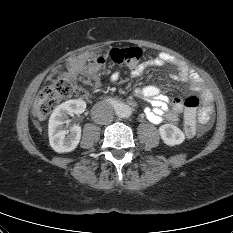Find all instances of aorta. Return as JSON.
Listing matches in <instances>:
<instances>
[{"mask_svg": "<svg viewBox=\"0 0 233 233\" xmlns=\"http://www.w3.org/2000/svg\"><path fill=\"white\" fill-rule=\"evenodd\" d=\"M132 111L131 108L128 105H122L120 106L118 110V115L120 117H129L131 115Z\"/></svg>", "mask_w": 233, "mask_h": 233, "instance_id": "762f6f07", "label": "aorta"}]
</instances>
